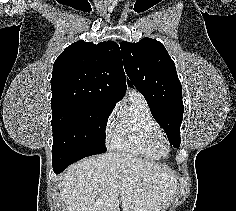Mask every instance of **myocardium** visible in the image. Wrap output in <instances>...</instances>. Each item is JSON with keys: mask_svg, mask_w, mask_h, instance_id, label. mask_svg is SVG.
<instances>
[{"mask_svg": "<svg viewBox=\"0 0 236 211\" xmlns=\"http://www.w3.org/2000/svg\"><path fill=\"white\" fill-rule=\"evenodd\" d=\"M149 149L157 154L160 158L166 157L171 151V144L167 135L160 129L153 131L147 138Z\"/></svg>", "mask_w": 236, "mask_h": 211, "instance_id": "1", "label": "myocardium"}]
</instances>
